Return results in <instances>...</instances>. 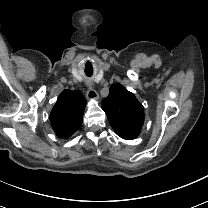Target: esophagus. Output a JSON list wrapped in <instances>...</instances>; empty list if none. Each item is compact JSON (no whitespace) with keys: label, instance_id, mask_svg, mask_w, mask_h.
<instances>
[{"label":"esophagus","instance_id":"obj_1","mask_svg":"<svg viewBox=\"0 0 208 208\" xmlns=\"http://www.w3.org/2000/svg\"><path fill=\"white\" fill-rule=\"evenodd\" d=\"M86 96L88 99L97 100L99 98L98 93L91 87L87 90Z\"/></svg>","mask_w":208,"mask_h":208}]
</instances>
